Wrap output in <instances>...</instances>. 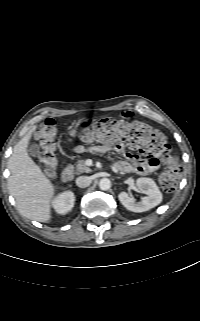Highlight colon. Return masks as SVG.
<instances>
[{
	"label": "colon",
	"instance_id": "obj_1",
	"mask_svg": "<svg viewBox=\"0 0 200 321\" xmlns=\"http://www.w3.org/2000/svg\"><path fill=\"white\" fill-rule=\"evenodd\" d=\"M86 142L111 143L125 148L136 149L146 154H157L164 162L159 183L166 192H173L178 184L180 167L176 158L170 154L164 135L150 125L125 117L106 118L86 126L79 132ZM56 124L51 118L45 119L36 132V139L42 146L41 164L46 174L51 175L56 165Z\"/></svg>",
	"mask_w": 200,
	"mask_h": 321
}]
</instances>
